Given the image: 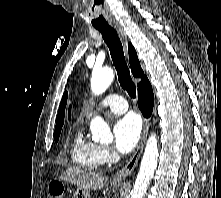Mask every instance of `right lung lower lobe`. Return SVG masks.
Returning <instances> with one entry per match:
<instances>
[{
	"mask_svg": "<svg viewBox=\"0 0 221 198\" xmlns=\"http://www.w3.org/2000/svg\"><path fill=\"white\" fill-rule=\"evenodd\" d=\"M154 105V95L148 79L138 84V106L145 117H150Z\"/></svg>",
	"mask_w": 221,
	"mask_h": 198,
	"instance_id": "1",
	"label": "right lung lower lobe"
}]
</instances>
